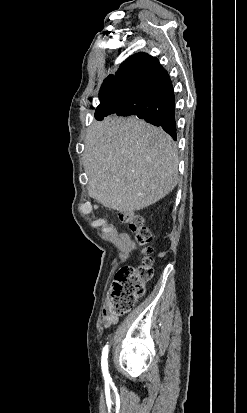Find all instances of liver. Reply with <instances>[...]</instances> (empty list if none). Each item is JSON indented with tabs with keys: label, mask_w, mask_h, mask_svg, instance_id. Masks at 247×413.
Listing matches in <instances>:
<instances>
[{
	"label": "liver",
	"mask_w": 247,
	"mask_h": 413,
	"mask_svg": "<svg viewBox=\"0 0 247 413\" xmlns=\"http://www.w3.org/2000/svg\"><path fill=\"white\" fill-rule=\"evenodd\" d=\"M83 158L89 196L119 213L149 207L178 182L174 140L161 126L134 116L92 122Z\"/></svg>",
	"instance_id": "1"
}]
</instances>
